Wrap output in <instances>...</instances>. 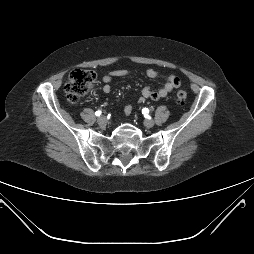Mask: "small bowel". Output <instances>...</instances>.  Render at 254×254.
I'll use <instances>...</instances> for the list:
<instances>
[{"label":"small bowel","mask_w":254,"mask_h":254,"mask_svg":"<svg viewBox=\"0 0 254 254\" xmlns=\"http://www.w3.org/2000/svg\"><path fill=\"white\" fill-rule=\"evenodd\" d=\"M130 73L127 69H116L102 77V91L104 93H109L111 91V82L113 78H121ZM146 75L148 78L154 79L158 77V72L155 69L149 68L146 70ZM181 84V80L177 75H169L166 83L158 90H153L149 86H144L141 90V94L138 98V102L142 103L146 99H151L158 101L162 98L168 96L173 90L177 89ZM132 111V106L127 104L124 108V113L129 115Z\"/></svg>","instance_id":"1"}]
</instances>
